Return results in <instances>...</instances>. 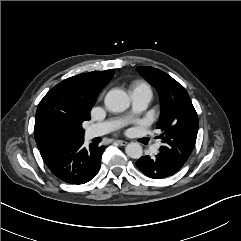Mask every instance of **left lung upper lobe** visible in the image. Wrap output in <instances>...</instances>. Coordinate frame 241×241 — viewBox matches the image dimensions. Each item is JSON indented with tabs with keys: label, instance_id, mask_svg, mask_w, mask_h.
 <instances>
[{
	"label": "left lung upper lobe",
	"instance_id": "obj_1",
	"mask_svg": "<svg viewBox=\"0 0 241 241\" xmlns=\"http://www.w3.org/2000/svg\"><path fill=\"white\" fill-rule=\"evenodd\" d=\"M160 96L161 114L157 128L163 145L159 153L182 167L188 160L197 137L198 116L184 87L165 72L153 67H138Z\"/></svg>",
	"mask_w": 241,
	"mask_h": 241
}]
</instances>
